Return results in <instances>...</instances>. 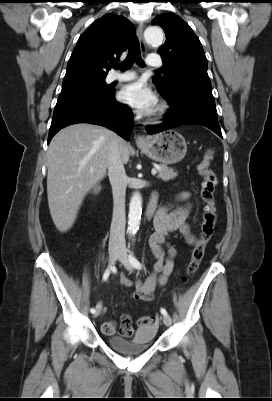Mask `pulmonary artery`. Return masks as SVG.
I'll use <instances>...</instances> for the list:
<instances>
[{
  "label": "pulmonary artery",
  "mask_w": 272,
  "mask_h": 401,
  "mask_svg": "<svg viewBox=\"0 0 272 401\" xmlns=\"http://www.w3.org/2000/svg\"><path fill=\"white\" fill-rule=\"evenodd\" d=\"M147 64L151 67H160L162 65L161 58L157 55H152L147 58ZM136 77L135 73L125 71V72H113L107 77V81L111 82H126L133 80Z\"/></svg>",
  "instance_id": "e3ab8cb5"
}]
</instances>
